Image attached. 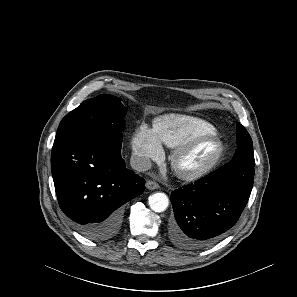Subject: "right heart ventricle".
Masks as SVG:
<instances>
[{
	"label": "right heart ventricle",
	"mask_w": 297,
	"mask_h": 297,
	"mask_svg": "<svg viewBox=\"0 0 297 297\" xmlns=\"http://www.w3.org/2000/svg\"><path fill=\"white\" fill-rule=\"evenodd\" d=\"M154 132L160 143L175 149L198 134L215 132V128L208 121L195 116L170 114L155 121Z\"/></svg>",
	"instance_id": "obj_1"
}]
</instances>
